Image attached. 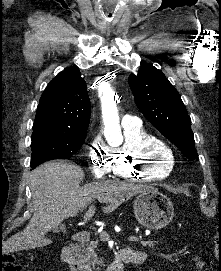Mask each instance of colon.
I'll use <instances>...</instances> for the list:
<instances>
[{"label":"colon","mask_w":221,"mask_h":271,"mask_svg":"<svg viewBox=\"0 0 221 271\" xmlns=\"http://www.w3.org/2000/svg\"><path fill=\"white\" fill-rule=\"evenodd\" d=\"M25 266L18 263L12 254H6L0 261V271H25Z\"/></svg>","instance_id":"colon-1"}]
</instances>
